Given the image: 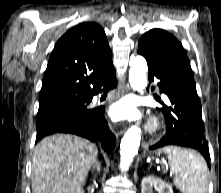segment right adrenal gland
I'll list each match as a JSON object with an SVG mask.
<instances>
[{"label": "right adrenal gland", "instance_id": "1", "mask_svg": "<svg viewBox=\"0 0 221 193\" xmlns=\"http://www.w3.org/2000/svg\"><path fill=\"white\" fill-rule=\"evenodd\" d=\"M93 169H96L98 173H100L101 171V165H100V162L99 160H96L93 164Z\"/></svg>", "mask_w": 221, "mask_h": 193}]
</instances>
